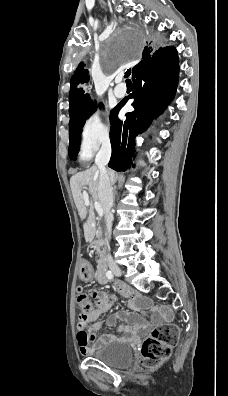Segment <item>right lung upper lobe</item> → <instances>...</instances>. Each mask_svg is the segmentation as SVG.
Here are the masks:
<instances>
[{"instance_id":"right-lung-upper-lobe-1","label":"right lung upper lobe","mask_w":228,"mask_h":396,"mask_svg":"<svg viewBox=\"0 0 228 396\" xmlns=\"http://www.w3.org/2000/svg\"><path fill=\"white\" fill-rule=\"evenodd\" d=\"M153 49L151 46H145L143 50V58L150 57ZM139 66L137 64L136 66L133 67L132 69V74L136 70V68ZM89 81V75L88 71L85 69V64L81 62L77 69L74 72V75L71 77V90L69 93V102H70V107H69V114L70 116L88 108L91 104L92 101L88 95L84 94V91L80 88H78L80 85L86 83Z\"/></svg>"}]
</instances>
